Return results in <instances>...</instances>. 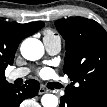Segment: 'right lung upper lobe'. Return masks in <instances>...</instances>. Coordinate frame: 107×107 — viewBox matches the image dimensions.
<instances>
[{"label":"right lung upper lobe","mask_w":107,"mask_h":107,"mask_svg":"<svg viewBox=\"0 0 107 107\" xmlns=\"http://www.w3.org/2000/svg\"><path fill=\"white\" fill-rule=\"evenodd\" d=\"M43 26V22L17 24L0 21V82L5 81V69L13 64L21 40L34 34Z\"/></svg>","instance_id":"obj_1"}]
</instances>
